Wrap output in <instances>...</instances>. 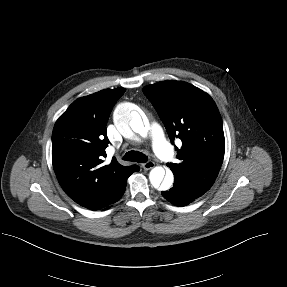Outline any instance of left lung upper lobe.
<instances>
[{
  "instance_id": "5c2ea615",
  "label": "left lung upper lobe",
  "mask_w": 287,
  "mask_h": 287,
  "mask_svg": "<svg viewBox=\"0 0 287 287\" xmlns=\"http://www.w3.org/2000/svg\"><path fill=\"white\" fill-rule=\"evenodd\" d=\"M163 121L169 138L182 141L177 163H168L175 177L206 192L221 168L225 139L221 115L213 99L185 82L162 81L143 88Z\"/></svg>"
}]
</instances>
